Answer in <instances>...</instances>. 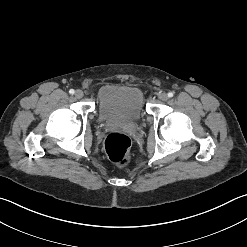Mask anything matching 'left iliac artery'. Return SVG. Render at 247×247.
<instances>
[{"label":"left iliac artery","mask_w":247,"mask_h":247,"mask_svg":"<svg viewBox=\"0 0 247 247\" xmlns=\"http://www.w3.org/2000/svg\"><path fill=\"white\" fill-rule=\"evenodd\" d=\"M174 93L173 92H169L168 93V97H173Z\"/></svg>","instance_id":"1"}]
</instances>
